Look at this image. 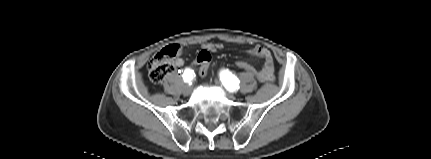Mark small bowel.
<instances>
[{"mask_svg": "<svg viewBox=\"0 0 431 159\" xmlns=\"http://www.w3.org/2000/svg\"><path fill=\"white\" fill-rule=\"evenodd\" d=\"M222 48H223V45L220 43H206L204 44L202 51H207L210 53V52H216L218 50H221ZM246 55L250 58H257L262 60V65L260 68H256L252 63L248 61H242L244 63L251 65L258 71V74L261 76V81L264 82V81H269L273 79V73H274L273 58L268 49L261 46H255L247 50ZM174 65L176 67H182L184 65V60L181 57H178L174 60Z\"/></svg>", "mask_w": 431, "mask_h": 159, "instance_id": "small-bowel-1", "label": "small bowel"}]
</instances>
